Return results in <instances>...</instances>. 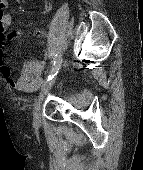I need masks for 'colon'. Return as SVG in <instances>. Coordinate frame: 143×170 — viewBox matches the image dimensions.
I'll return each mask as SVG.
<instances>
[{
  "label": "colon",
  "instance_id": "obj_1",
  "mask_svg": "<svg viewBox=\"0 0 143 170\" xmlns=\"http://www.w3.org/2000/svg\"><path fill=\"white\" fill-rule=\"evenodd\" d=\"M6 9V0H0V15L5 14L4 10Z\"/></svg>",
  "mask_w": 143,
  "mask_h": 170
}]
</instances>
